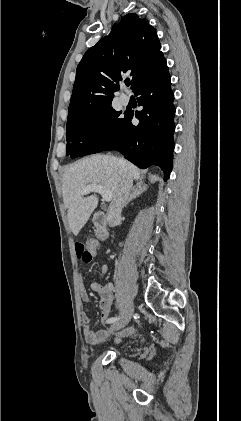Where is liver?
<instances>
[{
	"label": "liver",
	"instance_id": "obj_1",
	"mask_svg": "<svg viewBox=\"0 0 241 421\" xmlns=\"http://www.w3.org/2000/svg\"><path fill=\"white\" fill-rule=\"evenodd\" d=\"M118 158L110 155L96 154L70 165L62 179V196L68 210V221L75 236L86 224L98 203L93 194L83 197L80 192L88 185L98 184L116 195L121 182V166ZM125 168L132 180H140V170L132 163L125 161Z\"/></svg>",
	"mask_w": 241,
	"mask_h": 421
}]
</instances>
